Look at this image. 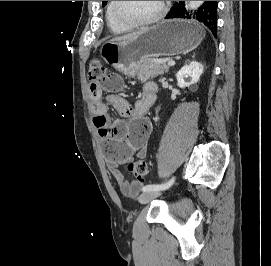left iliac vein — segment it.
Instances as JSON below:
<instances>
[{
	"label": "left iliac vein",
	"instance_id": "4c4485c4",
	"mask_svg": "<svg viewBox=\"0 0 271 266\" xmlns=\"http://www.w3.org/2000/svg\"><path fill=\"white\" fill-rule=\"evenodd\" d=\"M160 195L159 191H146L142 193L138 200L141 204H146Z\"/></svg>",
	"mask_w": 271,
	"mask_h": 266
}]
</instances>
